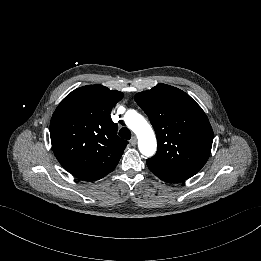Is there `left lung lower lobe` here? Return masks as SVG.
I'll return each mask as SVG.
<instances>
[{"mask_svg": "<svg viewBox=\"0 0 261 261\" xmlns=\"http://www.w3.org/2000/svg\"><path fill=\"white\" fill-rule=\"evenodd\" d=\"M146 163L149 170L154 175H156L162 181L168 183H178L185 181L197 173L173 168L153 159H147Z\"/></svg>", "mask_w": 261, "mask_h": 261, "instance_id": "1", "label": "left lung lower lobe"}]
</instances>
